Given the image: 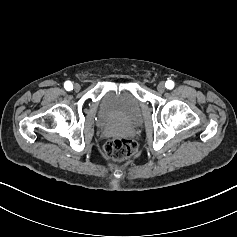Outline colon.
I'll return each mask as SVG.
<instances>
[{"mask_svg": "<svg viewBox=\"0 0 237 237\" xmlns=\"http://www.w3.org/2000/svg\"><path fill=\"white\" fill-rule=\"evenodd\" d=\"M104 150L109 158L121 162L132 158L137 146L135 141L128 137H116L106 142Z\"/></svg>", "mask_w": 237, "mask_h": 237, "instance_id": "5ec220e1", "label": "colon"}]
</instances>
